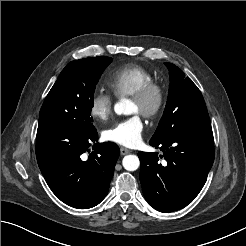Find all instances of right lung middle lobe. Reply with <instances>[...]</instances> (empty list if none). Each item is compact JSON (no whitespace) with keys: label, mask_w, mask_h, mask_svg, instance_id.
<instances>
[{"label":"right lung middle lobe","mask_w":246,"mask_h":246,"mask_svg":"<svg viewBox=\"0 0 246 246\" xmlns=\"http://www.w3.org/2000/svg\"><path fill=\"white\" fill-rule=\"evenodd\" d=\"M112 58L98 56L72 61L60 73L39 115L41 126L90 132L95 86Z\"/></svg>","instance_id":"dd1d6c3e"}]
</instances>
